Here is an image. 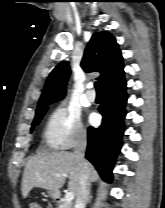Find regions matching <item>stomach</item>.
I'll list each match as a JSON object with an SVG mask.
<instances>
[{
	"instance_id": "1",
	"label": "stomach",
	"mask_w": 165,
	"mask_h": 208,
	"mask_svg": "<svg viewBox=\"0 0 165 208\" xmlns=\"http://www.w3.org/2000/svg\"><path fill=\"white\" fill-rule=\"evenodd\" d=\"M49 196L53 199H57L59 196V193L55 192V191H49Z\"/></svg>"
}]
</instances>
